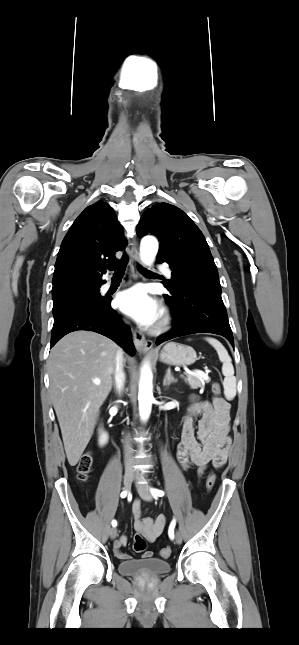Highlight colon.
I'll return each mask as SVG.
<instances>
[{"instance_id": "1", "label": "colon", "mask_w": 299, "mask_h": 645, "mask_svg": "<svg viewBox=\"0 0 299 645\" xmlns=\"http://www.w3.org/2000/svg\"><path fill=\"white\" fill-rule=\"evenodd\" d=\"M211 389H212L213 394H215L217 396L220 395L221 387H220V384L218 382H214L212 384ZM93 462H94L93 456H92V454L90 452H86L81 456V458H80V460L78 462V465H77V473H78V478L80 480L85 481V480L88 479V477H89V475H90V473L92 471V468H93ZM215 479H216L215 474L213 472H211L208 475L207 480H206V488H207L208 491L212 490V488H213V486L215 484ZM133 549L137 553L145 552V550H146V541L142 536H140L138 534H136L134 536ZM160 555L162 557H164V558H168L171 555L170 548L161 549L160 550Z\"/></svg>"}]
</instances>
